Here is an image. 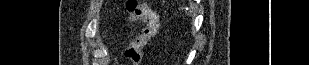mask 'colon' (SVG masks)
I'll return each instance as SVG.
<instances>
[{
    "label": "colon",
    "mask_w": 309,
    "mask_h": 65,
    "mask_svg": "<svg viewBox=\"0 0 309 65\" xmlns=\"http://www.w3.org/2000/svg\"><path fill=\"white\" fill-rule=\"evenodd\" d=\"M128 19L131 22L142 21L145 24L140 36L132 40L126 47L124 56L129 65H139L142 51L147 43L156 36L159 29V17L144 2L131 0L127 4Z\"/></svg>",
    "instance_id": "5ec220e1"
}]
</instances>
